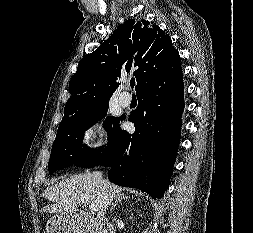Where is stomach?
Here are the masks:
<instances>
[{"mask_svg":"<svg viewBox=\"0 0 253 233\" xmlns=\"http://www.w3.org/2000/svg\"><path fill=\"white\" fill-rule=\"evenodd\" d=\"M77 215L68 213L57 215L51 218L47 223V233H76Z\"/></svg>","mask_w":253,"mask_h":233,"instance_id":"stomach-1","label":"stomach"}]
</instances>
